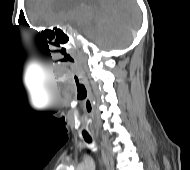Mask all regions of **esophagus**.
<instances>
[{"label": "esophagus", "mask_w": 190, "mask_h": 170, "mask_svg": "<svg viewBox=\"0 0 190 170\" xmlns=\"http://www.w3.org/2000/svg\"><path fill=\"white\" fill-rule=\"evenodd\" d=\"M103 159H104V163L106 165L107 170H115L114 159H113L112 155L108 151H105L103 153Z\"/></svg>", "instance_id": "34e87169"}]
</instances>
